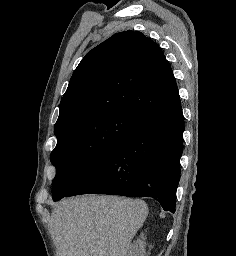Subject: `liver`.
Segmentation results:
<instances>
[{"label":"liver","instance_id":"1","mask_svg":"<svg viewBox=\"0 0 236 256\" xmlns=\"http://www.w3.org/2000/svg\"><path fill=\"white\" fill-rule=\"evenodd\" d=\"M147 216L143 200L96 194L62 200L50 222L56 256H128Z\"/></svg>","mask_w":236,"mask_h":256}]
</instances>
